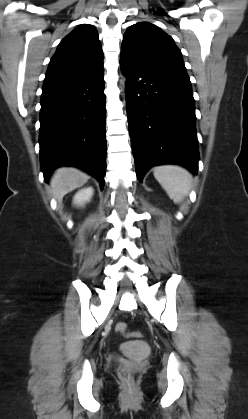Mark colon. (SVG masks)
<instances>
[{
    "label": "colon",
    "mask_w": 248,
    "mask_h": 419,
    "mask_svg": "<svg viewBox=\"0 0 248 419\" xmlns=\"http://www.w3.org/2000/svg\"><path fill=\"white\" fill-rule=\"evenodd\" d=\"M116 332L119 333V334H125L127 332V324L123 323V322L118 323L116 325ZM135 335H139V333H136ZM118 373H119V376L124 380V382L127 385L132 384L133 377H132L131 373L129 372V370L125 366L121 365L118 369Z\"/></svg>",
    "instance_id": "colon-1"
}]
</instances>
